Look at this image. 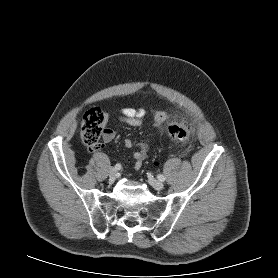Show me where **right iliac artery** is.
<instances>
[{
	"label": "right iliac artery",
	"instance_id": "obj_1",
	"mask_svg": "<svg viewBox=\"0 0 278 278\" xmlns=\"http://www.w3.org/2000/svg\"><path fill=\"white\" fill-rule=\"evenodd\" d=\"M115 169H116V170H120V169H121V164H119V163L116 164V165H115Z\"/></svg>",
	"mask_w": 278,
	"mask_h": 278
}]
</instances>
